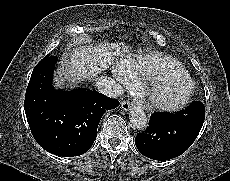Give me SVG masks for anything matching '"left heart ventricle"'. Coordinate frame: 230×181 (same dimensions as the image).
I'll use <instances>...</instances> for the list:
<instances>
[{"label": "left heart ventricle", "mask_w": 230, "mask_h": 181, "mask_svg": "<svg viewBox=\"0 0 230 181\" xmlns=\"http://www.w3.org/2000/svg\"><path fill=\"white\" fill-rule=\"evenodd\" d=\"M187 88V84L182 79L171 81L166 87H164L159 95L165 99H173L181 96Z\"/></svg>", "instance_id": "b2bd125f"}]
</instances>
